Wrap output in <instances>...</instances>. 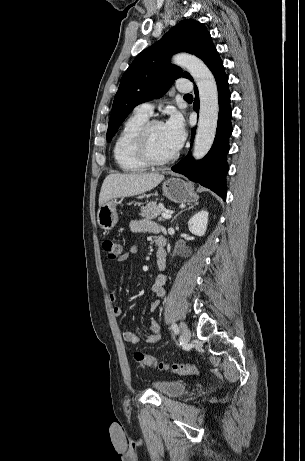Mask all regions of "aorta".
I'll return each mask as SVG.
<instances>
[{
    "label": "aorta",
    "mask_w": 305,
    "mask_h": 461,
    "mask_svg": "<svg viewBox=\"0 0 305 461\" xmlns=\"http://www.w3.org/2000/svg\"><path fill=\"white\" fill-rule=\"evenodd\" d=\"M173 63L187 69L199 90V122L193 157L200 160L212 147L216 135L219 113L217 84L209 68L193 55L178 54L173 57Z\"/></svg>",
    "instance_id": "obj_1"
}]
</instances>
